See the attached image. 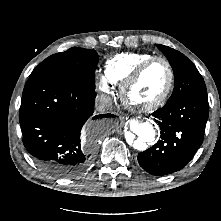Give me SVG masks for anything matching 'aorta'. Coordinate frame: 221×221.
I'll use <instances>...</instances> for the list:
<instances>
[{
	"label": "aorta",
	"instance_id": "obj_1",
	"mask_svg": "<svg viewBox=\"0 0 221 221\" xmlns=\"http://www.w3.org/2000/svg\"><path fill=\"white\" fill-rule=\"evenodd\" d=\"M131 132H126L125 138L128 145L137 150H145L146 142H153L156 131L148 121L135 120L131 123ZM136 135V138H135Z\"/></svg>",
	"mask_w": 221,
	"mask_h": 221
}]
</instances>
